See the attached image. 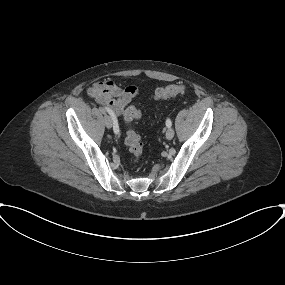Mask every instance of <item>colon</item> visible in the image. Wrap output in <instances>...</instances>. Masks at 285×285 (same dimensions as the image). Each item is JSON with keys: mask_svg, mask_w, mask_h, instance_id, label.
<instances>
[{"mask_svg": "<svg viewBox=\"0 0 285 285\" xmlns=\"http://www.w3.org/2000/svg\"><path fill=\"white\" fill-rule=\"evenodd\" d=\"M185 90L186 88L182 84H171L166 87L158 88L155 91L154 97L156 100H166L171 97L183 94ZM140 118L141 112L135 106H129L123 115V119L126 124L138 121ZM125 144L127 145L134 160H139L143 155L144 150L141 136L133 129L129 128L126 133Z\"/></svg>", "mask_w": 285, "mask_h": 285, "instance_id": "colon-1", "label": "colon"}]
</instances>
